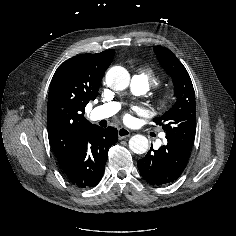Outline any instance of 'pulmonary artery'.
I'll use <instances>...</instances> for the list:
<instances>
[{"mask_svg": "<svg viewBox=\"0 0 236 236\" xmlns=\"http://www.w3.org/2000/svg\"><path fill=\"white\" fill-rule=\"evenodd\" d=\"M131 87L133 91L137 94H144L149 90V86L137 75H135L131 80ZM119 104L116 102H110L101 106H98L92 111V118L94 120L106 119L114 115L119 110ZM162 138L165 135L162 134Z\"/></svg>", "mask_w": 236, "mask_h": 236, "instance_id": "obj_1", "label": "pulmonary artery"}]
</instances>
